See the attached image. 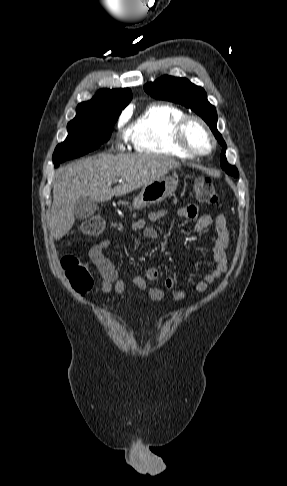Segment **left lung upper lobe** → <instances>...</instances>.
Wrapping results in <instances>:
<instances>
[{
  "mask_svg": "<svg viewBox=\"0 0 287 486\" xmlns=\"http://www.w3.org/2000/svg\"><path fill=\"white\" fill-rule=\"evenodd\" d=\"M144 90L153 98L172 101L191 108L209 125L218 142L223 147L221 154V167L234 177L239 173L236 167L228 164L225 156L226 143L217 130V112L213 105L207 100L203 88L194 85L185 78L163 76L154 82L144 85Z\"/></svg>",
  "mask_w": 287,
  "mask_h": 486,
  "instance_id": "5c2ea615",
  "label": "left lung upper lobe"
}]
</instances>
